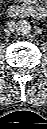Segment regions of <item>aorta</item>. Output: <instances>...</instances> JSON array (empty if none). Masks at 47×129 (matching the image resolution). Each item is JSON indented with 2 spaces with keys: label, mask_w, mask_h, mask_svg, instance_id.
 I'll use <instances>...</instances> for the list:
<instances>
[{
  "label": "aorta",
  "mask_w": 47,
  "mask_h": 129,
  "mask_svg": "<svg viewBox=\"0 0 47 129\" xmlns=\"http://www.w3.org/2000/svg\"><path fill=\"white\" fill-rule=\"evenodd\" d=\"M31 31V25L28 21L26 20H20L16 24V32L19 35H27Z\"/></svg>",
  "instance_id": "obj_1"
}]
</instances>
